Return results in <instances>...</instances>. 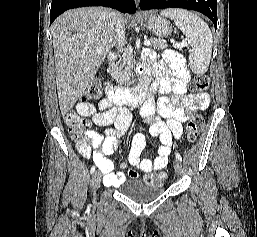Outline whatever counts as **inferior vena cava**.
Wrapping results in <instances>:
<instances>
[{"instance_id":"1","label":"inferior vena cava","mask_w":257,"mask_h":237,"mask_svg":"<svg viewBox=\"0 0 257 237\" xmlns=\"http://www.w3.org/2000/svg\"><path fill=\"white\" fill-rule=\"evenodd\" d=\"M110 20L113 25L119 45L125 40V31L119 15L115 11H110Z\"/></svg>"}]
</instances>
